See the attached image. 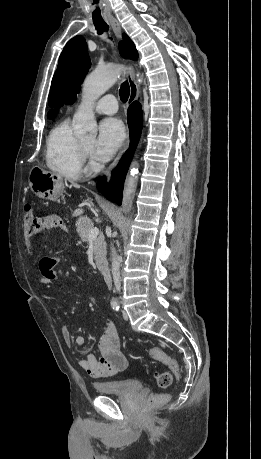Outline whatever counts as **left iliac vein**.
<instances>
[{"mask_svg":"<svg viewBox=\"0 0 261 459\" xmlns=\"http://www.w3.org/2000/svg\"><path fill=\"white\" fill-rule=\"evenodd\" d=\"M122 314H123L124 320H128L129 319L127 311L123 310Z\"/></svg>","mask_w":261,"mask_h":459,"instance_id":"obj_1","label":"left iliac vein"}]
</instances>
